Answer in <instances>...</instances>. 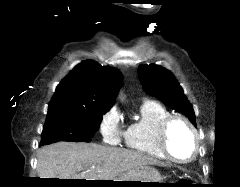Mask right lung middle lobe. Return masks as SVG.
I'll use <instances>...</instances> for the list:
<instances>
[{
    "instance_id": "right-lung-middle-lobe-1",
    "label": "right lung middle lobe",
    "mask_w": 240,
    "mask_h": 187,
    "mask_svg": "<svg viewBox=\"0 0 240 187\" xmlns=\"http://www.w3.org/2000/svg\"><path fill=\"white\" fill-rule=\"evenodd\" d=\"M106 111L107 109H88L77 106L48 108L41 145L58 141L89 142Z\"/></svg>"
}]
</instances>
